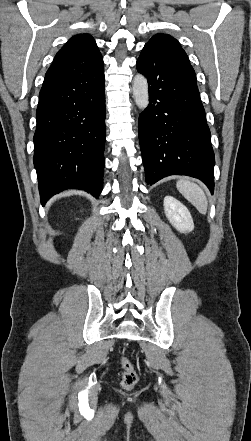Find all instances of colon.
Segmentation results:
<instances>
[{
    "label": "colon",
    "instance_id": "1",
    "mask_svg": "<svg viewBox=\"0 0 251 441\" xmlns=\"http://www.w3.org/2000/svg\"><path fill=\"white\" fill-rule=\"evenodd\" d=\"M119 363L122 368L121 386L127 390L132 389L138 382V373L128 358L122 356Z\"/></svg>",
    "mask_w": 251,
    "mask_h": 441
}]
</instances>
